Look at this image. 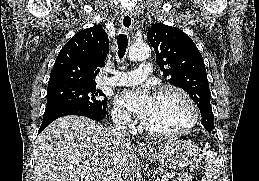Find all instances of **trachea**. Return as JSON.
Here are the masks:
<instances>
[{
    "mask_svg": "<svg viewBox=\"0 0 259 181\" xmlns=\"http://www.w3.org/2000/svg\"><path fill=\"white\" fill-rule=\"evenodd\" d=\"M117 44H118V56H119V59H122L126 53V49L128 46L127 35L120 33L117 38Z\"/></svg>",
    "mask_w": 259,
    "mask_h": 181,
    "instance_id": "3493384b",
    "label": "trachea"
}]
</instances>
